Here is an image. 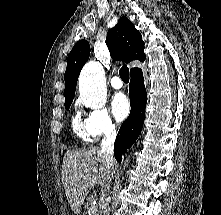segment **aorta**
<instances>
[{"instance_id":"obj_1","label":"aorta","mask_w":221,"mask_h":215,"mask_svg":"<svg viewBox=\"0 0 221 215\" xmlns=\"http://www.w3.org/2000/svg\"><path fill=\"white\" fill-rule=\"evenodd\" d=\"M79 92L85 102L95 109L102 108L107 99L105 72L96 61L88 62L79 76Z\"/></svg>"}]
</instances>
